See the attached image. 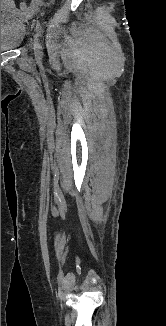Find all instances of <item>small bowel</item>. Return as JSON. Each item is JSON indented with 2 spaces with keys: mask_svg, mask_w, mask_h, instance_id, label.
I'll return each mask as SVG.
<instances>
[{
  "mask_svg": "<svg viewBox=\"0 0 166 326\" xmlns=\"http://www.w3.org/2000/svg\"><path fill=\"white\" fill-rule=\"evenodd\" d=\"M2 7L7 8L13 12H17V9L15 7L13 0H1V8Z\"/></svg>",
  "mask_w": 166,
  "mask_h": 326,
  "instance_id": "small-bowel-1",
  "label": "small bowel"
}]
</instances>
